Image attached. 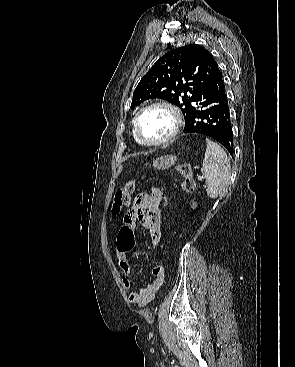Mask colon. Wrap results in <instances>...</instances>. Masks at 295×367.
<instances>
[{
    "label": "colon",
    "instance_id": "5ec220e1",
    "mask_svg": "<svg viewBox=\"0 0 295 367\" xmlns=\"http://www.w3.org/2000/svg\"><path fill=\"white\" fill-rule=\"evenodd\" d=\"M177 171L182 177L181 188L184 192L191 193L195 189V181L193 178L192 168L188 163H181L177 165ZM135 183L129 182L122 188H120L114 197L113 213L118 214L120 211L129 205L131 195L134 191ZM161 205L165 208L169 205L170 197L164 195L161 198ZM120 243L123 247H132L134 243V236L128 226H124L120 231Z\"/></svg>",
    "mask_w": 295,
    "mask_h": 367
}]
</instances>
